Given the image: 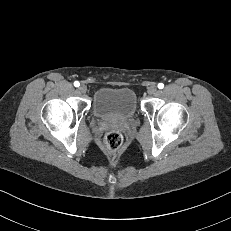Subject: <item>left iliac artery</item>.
I'll use <instances>...</instances> for the list:
<instances>
[{"mask_svg":"<svg viewBox=\"0 0 231 231\" xmlns=\"http://www.w3.org/2000/svg\"><path fill=\"white\" fill-rule=\"evenodd\" d=\"M163 87H164V84H163V83H159V84H158V88H159V89H163Z\"/></svg>","mask_w":231,"mask_h":231,"instance_id":"left-iliac-artery-1","label":"left iliac artery"}]
</instances>
